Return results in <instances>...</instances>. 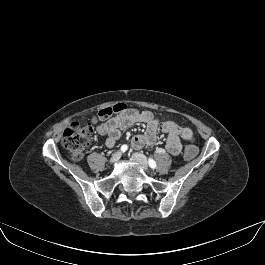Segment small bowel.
Segmentation results:
<instances>
[{
    "mask_svg": "<svg viewBox=\"0 0 265 265\" xmlns=\"http://www.w3.org/2000/svg\"><path fill=\"white\" fill-rule=\"evenodd\" d=\"M136 123L146 124V130L143 134L133 137L131 144L135 149L155 145L160 127L167 134L166 149L174 156L181 152V139L187 142L194 140V133L190 128L170 119H159L151 111H139L133 108H127L124 112L100 124L97 130L100 135L106 136V146L112 148L122 132Z\"/></svg>",
    "mask_w": 265,
    "mask_h": 265,
    "instance_id": "1",
    "label": "small bowel"
}]
</instances>
